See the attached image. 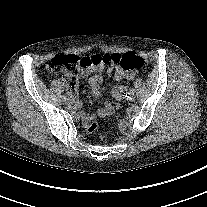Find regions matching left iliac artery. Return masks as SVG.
<instances>
[{
	"mask_svg": "<svg viewBox=\"0 0 207 207\" xmlns=\"http://www.w3.org/2000/svg\"><path fill=\"white\" fill-rule=\"evenodd\" d=\"M128 94H129L130 96H133V95L135 94V90H134V89H130V90L128 91Z\"/></svg>",
	"mask_w": 207,
	"mask_h": 207,
	"instance_id": "obj_1",
	"label": "left iliac artery"
}]
</instances>
